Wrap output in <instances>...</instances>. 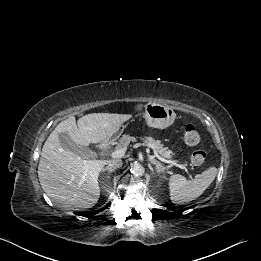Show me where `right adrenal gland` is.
Here are the masks:
<instances>
[{"mask_svg": "<svg viewBox=\"0 0 261 261\" xmlns=\"http://www.w3.org/2000/svg\"><path fill=\"white\" fill-rule=\"evenodd\" d=\"M105 171H108V173L110 174L113 170L108 168V167H106V168L102 169V172H105ZM107 178H110V176H107ZM102 183H104V182H102ZM103 188H105V186H103Z\"/></svg>", "mask_w": 261, "mask_h": 261, "instance_id": "1", "label": "right adrenal gland"}]
</instances>
